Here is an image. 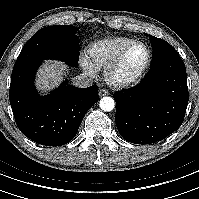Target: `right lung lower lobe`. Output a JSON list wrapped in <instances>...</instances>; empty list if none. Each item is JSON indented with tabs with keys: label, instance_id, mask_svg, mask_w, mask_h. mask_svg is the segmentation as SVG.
Instances as JSON below:
<instances>
[{
	"label": "right lung lower lobe",
	"instance_id": "98d812e1",
	"mask_svg": "<svg viewBox=\"0 0 199 199\" xmlns=\"http://www.w3.org/2000/svg\"><path fill=\"white\" fill-rule=\"evenodd\" d=\"M42 61L12 71L10 104L20 131L46 146H61L76 135L87 111L99 100L98 87L77 88L67 82L49 95L40 96L34 76Z\"/></svg>",
	"mask_w": 199,
	"mask_h": 199
}]
</instances>
